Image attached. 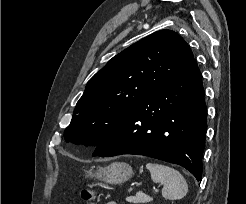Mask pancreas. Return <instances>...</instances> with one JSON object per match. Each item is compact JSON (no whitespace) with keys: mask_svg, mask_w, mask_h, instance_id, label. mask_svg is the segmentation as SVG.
<instances>
[{"mask_svg":"<svg viewBox=\"0 0 246 204\" xmlns=\"http://www.w3.org/2000/svg\"><path fill=\"white\" fill-rule=\"evenodd\" d=\"M126 201L134 204L147 203L151 201V198L144 193H138L136 196L126 197Z\"/></svg>","mask_w":246,"mask_h":204,"instance_id":"cf45deb5","label":"pancreas"}]
</instances>
